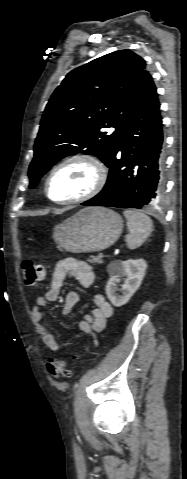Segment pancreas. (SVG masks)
<instances>
[{
    "mask_svg": "<svg viewBox=\"0 0 187 479\" xmlns=\"http://www.w3.org/2000/svg\"><path fill=\"white\" fill-rule=\"evenodd\" d=\"M89 262H91L92 264H96V263L101 264V263H103V260H102V258L99 257V256H92V257L90 258Z\"/></svg>",
    "mask_w": 187,
    "mask_h": 479,
    "instance_id": "pancreas-1",
    "label": "pancreas"
}]
</instances>
